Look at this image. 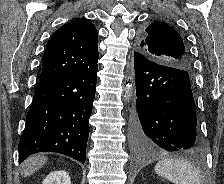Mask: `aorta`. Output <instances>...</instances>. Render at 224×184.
I'll list each match as a JSON object with an SVG mask.
<instances>
[{"label": "aorta", "mask_w": 224, "mask_h": 184, "mask_svg": "<svg viewBox=\"0 0 224 184\" xmlns=\"http://www.w3.org/2000/svg\"><path fill=\"white\" fill-rule=\"evenodd\" d=\"M127 89H128V90L130 89V86H129V85L127 86Z\"/></svg>", "instance_id": "762f6f07"}]
</instances>
